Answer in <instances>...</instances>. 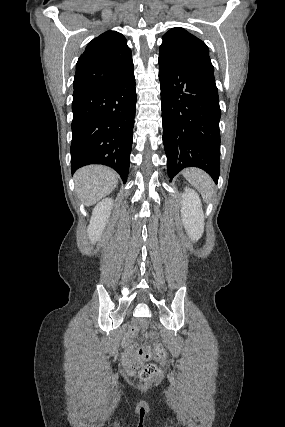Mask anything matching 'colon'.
Masks as SVG:
<instances>
[{
	"mask_svg": "<svg viewBox=\"0 0 285 427\" xmlns=\"http://www.w3.org/2000/svg\"><path fill=\"white\" fill-rule=\"evenodd\" d=\"M135 325L139 328H145L148 326V323L143 319H138ZM131 355L140 356L144 360V362L137 363L135 368L140 379L148 383L154 382L156 375L155 365L149 363L148 361L150 359H154L160 363H164L167 360V353L165 348L158 343H154L137 350H131Z\"/></svg>",
	"mask_w": 285,
	"mask_h": 427,
	"instance_id": "5ec220e1",
	"label": "colon"
}]
</instances>
